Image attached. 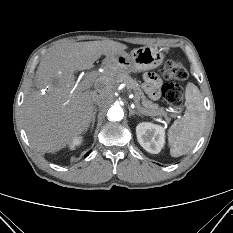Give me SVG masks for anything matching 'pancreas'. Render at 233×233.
I'll use <instances>...</instances> for the list:
<instances>
[{"label":"pancreas","instance_id":"pancreas-1","mask_svg":"<svg viewBox=\"0 0 233 233\" xmlns=\"http://www.w3.org/2000/svg\"><path fill=\"white\" fill-rule=\"evenodd\" d=\"M112 72L116 81L119 83L124 82L127 86V89L134 94L135 103L141 101L146 114L154 115L157 113H164L163 108H159L158 104H155L146 98L144 92L140 88V85L135 79L131 78L128 74L124 73L118 68H113Z\"/></svg>","mask_w":233,"mask_h":233}]
</instances>
